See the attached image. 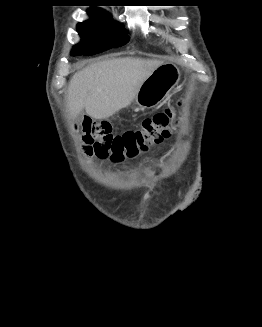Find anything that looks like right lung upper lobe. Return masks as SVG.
Returning a JSON list of instances; mask_svg holds the SVG:
<instances>
[{"label":"right lung upper lobe","instance_id":"obj_1","mask_svg":"<svg viewBox=\"0 0 262 327\" xmlns=\"http://www.w3.org/2000/svg\"><path fill=\"white\" fill-rule=\"evenodd\" d=\"M90 11H103L101 9H97V8H90ZM104 12V11H103Z\"/></svg>","mask_w":262,"mask_h":327}]
</instances>
